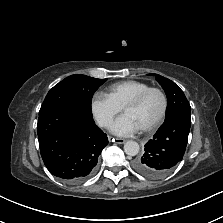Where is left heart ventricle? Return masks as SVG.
<instances>
[{"label": "left heart ventricle", "instance_id": "b2bd125f", "mask_svg": "<svg viewBox=\"0 0 223 223\" xmlns=\"http://www.w3.org/2000/svg\"><path fill=\"white\" fill-rule=\"evenodd\" d=\"M162 108V96L158 92H152L138 106L127 108L124 114L130 116L141 129L153 123Z\"/></svg>", "mask_w": 223, "mask_h": 223}]
</instances>
